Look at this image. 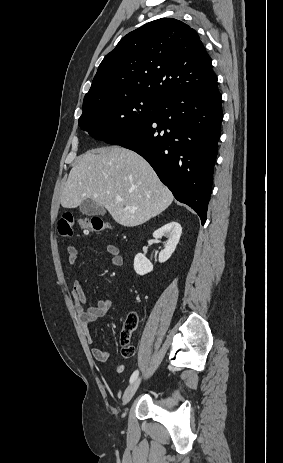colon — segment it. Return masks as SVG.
<instances>
[{"label": "colon", "instance_id": "obj_1", "mask_svg": "<svg viewBox=\"0 0 283 463\" xmlns=\"http://www.w3.org/2000/svg\"><path fill=\"white\" fill-rule=\"evenodd\" d=\"M78 227L84 233L104 232L110 229V225L102 218L92 216L87 218H74L72 215H64L59 218L57 227L61 236L68 237L74 232V227ZM137 316L130 314L124 324L121 337V354L129 359L135 355V348L130 343V333L136 328Z\"/></svg>", "mask_w": 283, "mask_h": 463}]
</instances>
